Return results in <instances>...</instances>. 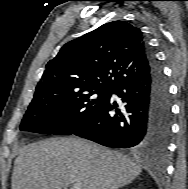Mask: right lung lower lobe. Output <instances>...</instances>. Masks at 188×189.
I'll list each match as a JSON object with an SVG mask.
<instances>
[{
	"label": "right lung lower lobe",
	"instance_id": "right-lung-lower-lobe-1",
	"mask_svg": "<svg viewBox=\"0 0 188 189\" xmlns=\"http://www.w3.org/2000/svg\"><path fill=\"white\" fill-rule=\"evenodd\" d=\"M147 75L111 89L93 116L73 134L112 148L149 147L166 151L171 134L169 87L154 54L148 50ZM116 94L121 103L111 100Z\"/></svg>",
	"mask_w": 188,
	"mask_h": 189
}]
</instances>
